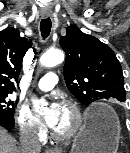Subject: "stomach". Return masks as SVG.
I'll return each instance as SVG.
<instances>
[{
	"mask_svg": "<svg viewBox=\"0 0 130 153\" xmlns=\"http://www.w3.org/2000/svg\"><path fill=\"white\" fill-rule=\"evenodd\" d=\"M120 132L115 111L98 103L87 114L85 124L73 141L71 153H117Z\"/></svg>",
	"mask_w": 130,
	"mask_h": 153,
	"instance_id": "stomach-1",
	"label": "stomach"
}]
</instances>
